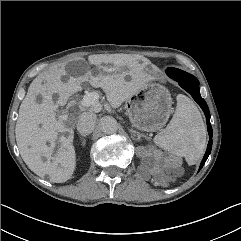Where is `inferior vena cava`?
Instances as JSON below:
<instances>
[{"label": "inferior vena cava", "instance_id": "1", "mask_svg": "<svg viewBox=\"0 0 241 241\" xmlns=\"http://www.w3.org/2000/svg\"><path fill=\"white\" fill-rule=\"evenodd\" d=\"M95 124H96V114L92 111L89 112H83L78 120H77V130L81 133V134H90L94 128H95Z\"/></svg>", "mask_w": 241, "mask_h": 241}]
</instances>
